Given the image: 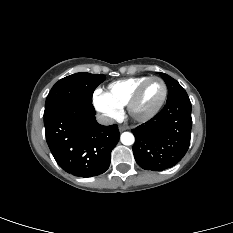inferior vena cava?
Segmentation results:
<instances>
[{"mask_svg":"<svg viewBox=\"0 0 233 233\" xmlns=\"http://www.w3.org/2000/svg\"><path fill=\"white\" fill-rule=\"evenodd\" d=\"M96 119L100 124H103V125H111L114 122V120L112 118H110L106 115H103V114H98L96 116Z\"/></svg>","mask_w":233,"mask_h":233,"instance_id":"602c4592","label":"inferior vena cava"}]
</instances>
